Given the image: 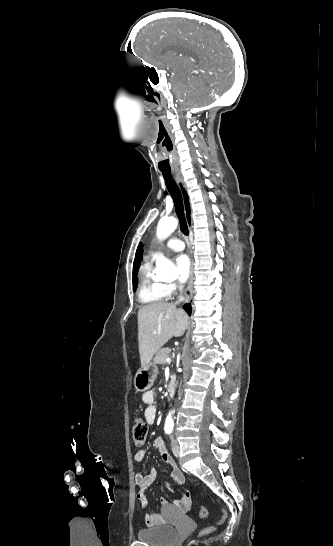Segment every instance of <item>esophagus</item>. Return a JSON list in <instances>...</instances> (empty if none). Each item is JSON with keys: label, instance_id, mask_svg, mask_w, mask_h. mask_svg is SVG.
Listing matches in <instances>:
<instances>
[{"label": "esophagus", "instance_id": "esophagus-1", "mask_svg": "<svg viewBox=\"0 0 333 546\" xmlns=\"http://www.w3.org/2000/svg\"><path fill=\"white\" fill-rule=\"evenodd\" d=\"M174 179L182 194L187 222L188 224H190L191 205H190V197H189L188 190L180 174H174ZM193 280H194V274H193V260H192V267H191L190 277H189L188 286L186 290L187 299H189V297H191L193 293Z\"/></svg>", "mask_w": 333, "mask_h": 546}]
</instances>
